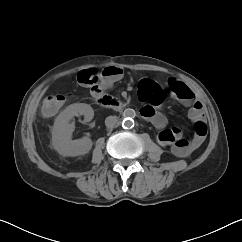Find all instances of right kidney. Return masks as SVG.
I'll list each match as a JSON object with an SVG mask.
<instances>
[{
	"label": "right kidney",
	"instance_id": "obj_1",
	"mask_svg": "<svg viewBox=\"0 0 242 242\" xmlns=\"http://www.w3.org/2000/svg\"><path fill=\"white\" fill-rule=\"evenodd\" d=\"M84 116L85 122H90L94 117L92 107L85 103H74L64 109L55 119L52 129L53 148L62 156H80L87 154L92 148L89 137L72 140L73 126L70 124L74 116Z\"/></svg>",
	"mask_w": 242,
	"mask_h": 242
}]
</instances>
